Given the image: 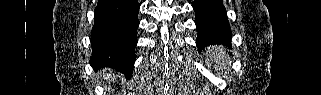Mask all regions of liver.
Instances as JSON below:
<instances>
[{
	"label": "liver",
	"instance_id": "liver-1",
	"mask_svg": "<svg viewBox=\"0 0 321 95\" xmlns=\"http://www.w3.org/2000/svg\"><path fill=\"white\" fill-rule=\"evenodd\" d=\"M105 78L109 79V81H114L117 78V75L114 72L109 71V73L105 74Z\"/></svg>",
	"mask_w": 321,
	"mask_h": 95
}]
</instances>
